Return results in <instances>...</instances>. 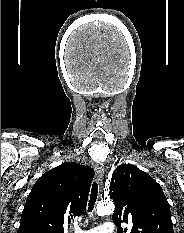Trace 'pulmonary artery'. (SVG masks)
I'll list each match as a JSON object with an SVG mask.
<instances>
[{
	"label": "pulmonary artery",
	"instance_id": "1",
	"mask_svg": "<svg viewBox=\"0 0 184 233\" xmlns=\"http://www.w3.org/2000/svg\"><path fill=\"white\" fill-rule=\"evenodd\" d=\"M75 232L76 233H115L116 228L113 222L106 221L102 225L89 230H81L76 228Z\"/></svg>",
	"mask_w": 184,
	"mask_h": 233
}]
</instances>
